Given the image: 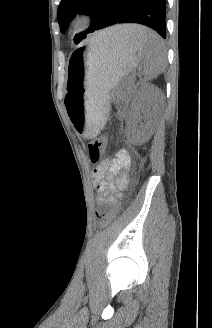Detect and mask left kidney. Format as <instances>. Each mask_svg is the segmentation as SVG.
Returning a JSON list of instances; mask_svg holds the SVG:
<instances>
[{
    "mask_svg": "<svg viewBox=\"0 0 212 328\" xmlns=\"http://www.w3.org/2000/svg\"><path fill=\"white\" fill-rule=\"evenodd\" d=\"M161 103L160 91L152 86L141 87L132 100L127 126L131 133V139L135 143L147 141L154 133L157 123L156 111ZM152 109V111H151ZM144 114L145 123L138 126Z\"/></svg>",
    "mask_w": 212,
    "mask_h": 328,
    "instance_id": "left-kidney-1",
    "label": "left kidney"
}]
</instances>
